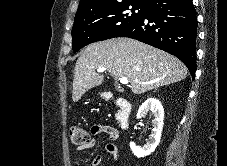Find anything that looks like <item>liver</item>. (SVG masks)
Returning <instances> with one entry per match:
<instances>
[{"label":"liver","mask_w":227,"mask_h":166,"mask_svg":"<svg viewBox=\"0 0 227 166\" xmlns=\"http://www.w3.org/2000/svg\"><path fill=\"white\" fill-rule=\"evenodd\" d=\"M106 68L114 78H127L134 94H142L187 77L186 66L160 49L130 38H112L90 44L78 58L73 78L72 99L77 102L89 89L99 86Z\"/></svg>","instance_id":"1"}]
</instances>
